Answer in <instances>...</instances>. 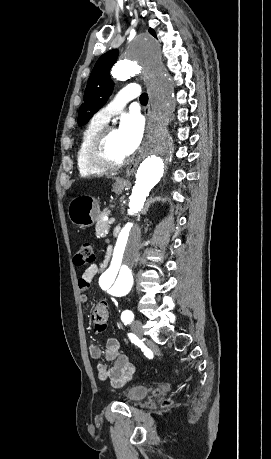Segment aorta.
I'll return each mask as SVG.
<instances>
[{
    "label": "aorta",
    "instance_id": "1",
    "mask_svg": "<svg viewBox=\"0 0 271 459\" xmlns=\"http://www.w3.org/2000/svg\"><path fill=\"white\" fill-rule=\"evenodd\" d=\"M141 71L149 77L153 121L140 157L125 222L113 256L99 279L101 288L117 297L128 294L132 288V267L139 257L141 242L138 215L144 211L145 200L163 177L173 153V142L167 131L175 107L173 82L161 61L158 45L150 37L136 38L128 49L127 59L115 64L111 74L123 81Z\"/></svg>",
    "mask_w": 271,
    "mask_h": 459
}]
</instances>
